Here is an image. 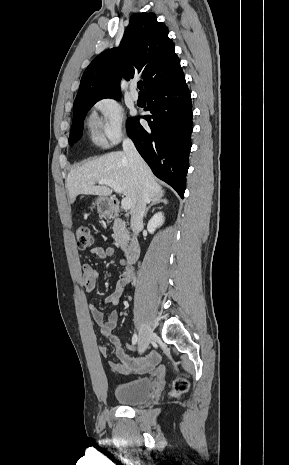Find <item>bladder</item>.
Returning <instances> with one entry per match:
<instances>
[{"label":"bladder","mask_w":289,"mask_h":465,"mask_svg":"<svg viewBox=\"0 0 289 465\" xmlns=\"http://www.w3.org/2000/svg\"><path fill=\"white\" fill-rule=\"evenodd\" d=\"M151 378L143 377L118 384L115 387V398L125 405H139L146 402L152 392Z\"/></svg>","instance_id":"31cf9c89"}]
</instances>
